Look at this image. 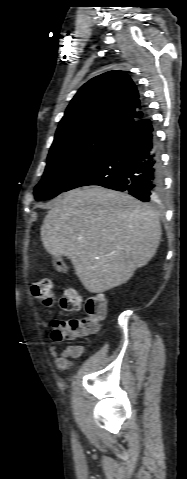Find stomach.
I'll return each instance as SVG.
<instances>
[{
	"label": "stomach",
	"mask_w": 187,
	"mask_h": 479,
	"mask_svg": "<svg viewBox=\"0 0 187 479\" xmlns=\"http://www.w3.org/2000/svg\"><path fill=\"white\" fill-rule=\"evenodd\" d=\"M53 264L54 267L56 268L57 271L59 272H66L67 271V266L64 262V260L61 257H57L53 259Z\"/></svg>",
	"instance_id": "obj_1"
}]
</instances>
